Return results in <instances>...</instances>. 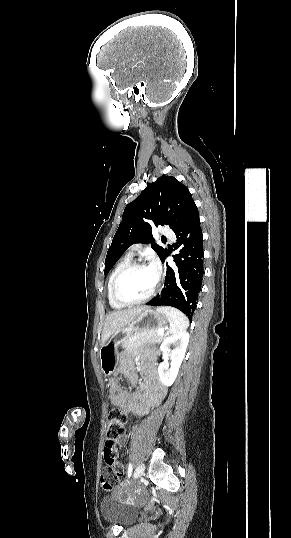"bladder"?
Masks as SVG:
<instances>
[{
  "mask_svg": "<svg viewBox=\"0 0 291 538\" xmlns=\"http://www.w3.org/2000/svg\"><path fill=\"white\" fill-rule=\"evenodd\" d=\"M101 513L107 521L126 526L136 517L138 512L135 508L121 504L114 497L108 496L101 503Z\"/></svg>",
  "mask_w": 291,
  "mask_h": 538,
  "instance_id": "31cf9c89",
  "label": "bladder"
}]
</instances>
